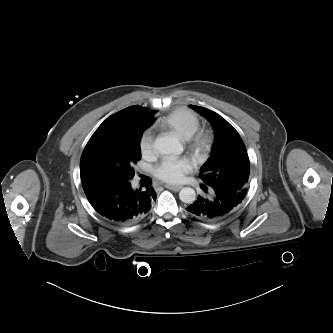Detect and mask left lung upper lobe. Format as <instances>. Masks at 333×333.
I'll use <instances>...</instances> for the list:
<instances>
[{"label":"left lung upper lobe","mask_w":333,"mask_h":333,"mask_svg":"<svg viewBox=\"0 0 333 333\" xmlns=\"http://www.w3.org/2000/svg\"><path fill=\"white\" fill-rule=\"evenodd\" d=\"M192 109L210 121L215 132V142L208 160L200 169L199 177L208 186L223 185L244 199L250 172L245 145L237 131L220 115L195 105Z\"/></svg>","instance_id":"1"}]
</instances>
